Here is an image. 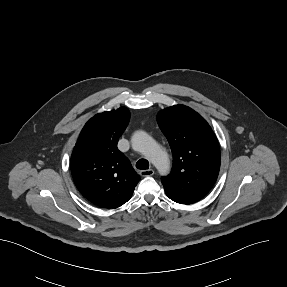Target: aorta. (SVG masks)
<instances>
[{"label": "aorta", "instance_id": "obj_1", "mask_svg": "<svg viewBox=\"0 0 287 287\" xmlns=\"http://www.w3.org/2000/svg\"><path fill=\"white\" fill-rule=\"evenodd\" d=\"M132 147L141 152L158 170L166 175L170 170L167 152L146 132L137 131L131 139Z\"/></svg>", "mask_w": 287, "mask_h": 287}]
</instances>
